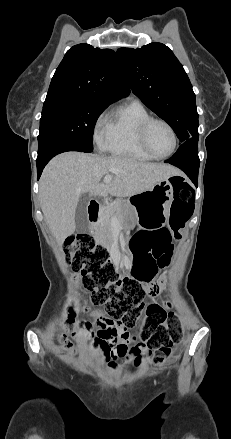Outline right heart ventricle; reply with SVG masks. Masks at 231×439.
Listing matches in <instances>:
<instances>
[{
	"instance_id": "e07e8e85",
	"label": "right heart ventricle",
	"mask_w": 231,
	"mask_h": 439,
	"mask_svg": "<svg viewBox=\"0 0 231 439\" xmlns=\"http://www.w3.org/2000/svg\"><path fill=\"white\" fill-rule=\"evenodd\" d=\"M150 117L145 106L137 100L118 107L108 117L105 136L100 143L101 150L113 156L137 161L153 160L139 141L140 128Z\"/></svg>"
}]
</instances>
